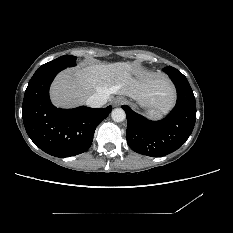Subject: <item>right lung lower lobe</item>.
Returning <instances> with one entry per match:
<instances>
[{
  "label": "right lung lower lobe",
  "instance_id": "obj_1",
  "mask_svg": "<svg viewBox=\"0 0 233 233\" xmlns=\"http://www.w3.org/2000/svg\"><path fill=\"white\" fill-rule=\"evenodd\" d=\"M63 68L36 71L25 91L22 117L30 139L44 152L55 157H70L87 151L97 125L112 110L81 106L56 108L49 99V87Z\"/></svg>",
  "mask_w": 233,
  "mask_h": 233
}]
</instances>
